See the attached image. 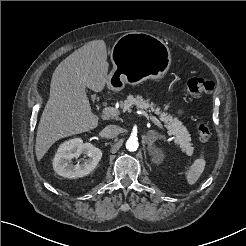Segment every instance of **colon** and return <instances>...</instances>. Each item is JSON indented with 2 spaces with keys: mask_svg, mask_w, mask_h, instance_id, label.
Masks as SVG:
<instances>
[{
  "mask_svg": "<svg viewBox=\"0 0 246 246\" xmlns=\"http://www.w3.org/2000/svg\"><path fill=\"white\" fill-rule=\"evenodd\" d=\"M215 88V84L202 77H194L187 80L184 84L186 93L192 97H200L212 92ZM196 130L200 140L208 141L212 135L210 126L205 122H199L196 126Z\"/></svg>",
  "mask_w": 246,
  "mask_h": 246,
  "instance_id": "obj_1",
  "label": "colon"
}]
</instances>
